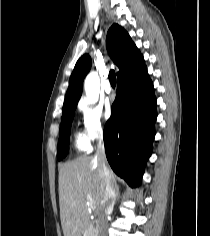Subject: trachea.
I'll list each match as a JSON object with an SVG mask.
<instances>
[{
	"label": "trachea",
	"instance_id": "1",
	"mask_svg": "<svg viewBox=\"0 0 210 236\" xmlns=\"http://www.w3.org/2000/svg\"><path fill=\"white\" fill-rule=\"evenodd\" d=\"M109 81H110V84L112 87H115L116 86V74H115V71L114 70H110L109 72Z\"/></svg>",
	"mask_w": 210,
	"mask_h": 236
}]
</instances>
